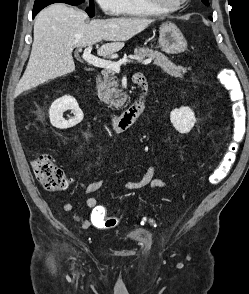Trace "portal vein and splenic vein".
Masks as SVG:
<instances>
[{
  "label": "portal vein and splenic vein",
  "mask_w": 249,
  "mask_h": 294,
  "mask_svg": "<svg viewBox=\"0 0 249 294\" xmlns=\"http://www.w3.org/2000/svg\"><path fill=\"white\" fill-rule=\"evenodd\" d=\"M91 51H92V46L89 45L85 50H84V53L82 55V58L96 66V67H101V68H106V69H111L115 72H120V67L122 64H126L127 62H130V60H127V59H122V60H119L118 62H114V61H109V60H104V59H101V58H98V57H95L94 55L91 54ZM137 60L139 62H141L142 64L144 65H147V64H150L152 62V59H146V60H143V58L141 57H138Z\"/></svg>",
  "instance_id": "obj_1"
}]
</instances>
